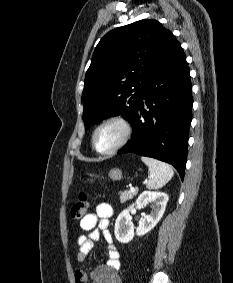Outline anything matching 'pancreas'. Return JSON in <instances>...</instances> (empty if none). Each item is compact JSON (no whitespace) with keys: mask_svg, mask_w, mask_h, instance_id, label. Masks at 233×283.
I'll use <instances>...</instances> for the list:
<instances>
[{"mask_svg":"<svg viewBox=\"0 0 233 283\" xmlns=\"http://www.w3.org/2000/svg\"><path fill=\"white\" fill-rule=\"evenodd\" d=\"M137 194V191L132 192V191H124V192H119L120 195V202L124 203L127 200H130Z\"/></svg>","mask_w":233,"mask_h":283,"instance_id":"cf45deb5","label":"pancreas"}]
</instances>
